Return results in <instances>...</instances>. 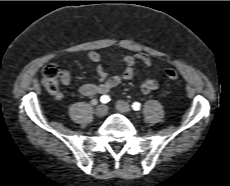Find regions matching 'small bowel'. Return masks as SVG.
I'll return each mask as SVG.
<instances>
[{"label": "small bowel", "mask_w": 230, "mask_h": 186, "mask_svg": "<svg viewBox=\"0 0 230 186\" xmlns=\"http://www.w3.org/2000/svg\"><path fill=\"white\" fill-rule=\"evenodd\" d=\"M88 59L96 64L98 82L81 85L79 93L83 96L106 94L120 83L131 80L134 77L135 65L137 62H141L145 67H150L152 64L151 58L147 54L137 53L134 55H127L123 58V63L125 65L124 71L119 75L108 76V73L101 64V56L98 52L90 51L88 53ZM60 81L64 85L70 83L71 76L67 70L61 72ZM140 87L144 94H148L159 88V82L154 78L148 77L142 81ZM56 98L58 100L62 99L63 94L58 92Z\"/></svg>", "instance_id": "obj_1"}]
</instances>
